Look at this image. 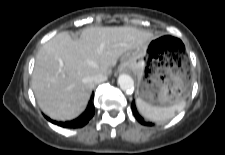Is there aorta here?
I'll return each instance as SVG.
<instances>
[{"mask_svg": "<svg viewBox=\"0 0 225 155\" xmlns=\"http://www.w3.org/2000/svg\"><path fill=\"white\" fill-rule=\"evenodd\" d=\"M118 85L121 90L131 92L134 89V80L127 74H121L118 77Z\"/></svg>", "mask_w": 225, "mask_h": 155, "instance_id": "aorta-1", "label": "aorta"}]
</instances>
